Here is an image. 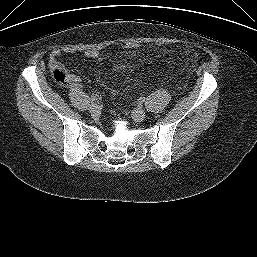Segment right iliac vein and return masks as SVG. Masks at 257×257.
Wrapping results in <instances>:
<instances>
[{
    "instance_id": "63e3f726",
    "label": "right iliac vein",
    "mask_w": 257,
    "mask_h": 257,
    "mask_svg": "<svg viewBox=\"0 0 257 257\" xmlns=\"http://www.w3.org/2000/svg\"><path fill=\"white\" fill-rule=\"evenodd\" d=\"M89 111L92 115H98L100 113V107L97 104H91Z\"/></svg>"
}]
</instances>
